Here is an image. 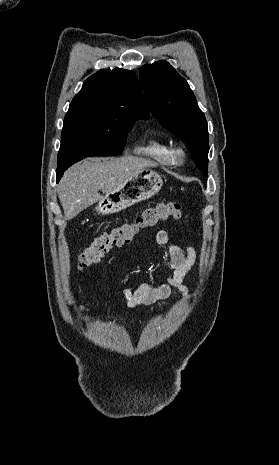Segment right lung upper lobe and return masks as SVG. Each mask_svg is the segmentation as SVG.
Instances as JSON below:
<instances>
[{"label": "right lung upper lobe", "mask_w": 279, "mask_h": 465, "mask_svg": "<svg viewBox=\"0 0 279 465\" xmlns=\"http://www.w3.org/2000/svg\"><path fill=\"white\" fill-rule=\"evenodd\" d=\"M120 117H149V111L133 71L100 70L89 77L73 98L63 128L99 126Z\"/></svg>", "instance_id": "1"}]
</instances>
